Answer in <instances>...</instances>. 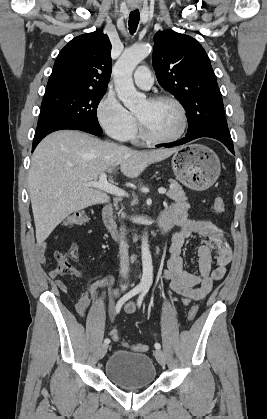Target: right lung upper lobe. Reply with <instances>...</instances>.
I'll return each mask as SVG.
<instances>
[{
  "label": "right lung upper lobe",
  "mask_w": 267,
  "mask_h": 419,
  "mask_svg": "<svg viewBox=\"0 0 267 419\" xmlns=\"http://www.w3.org/2000/svg\"><path fill=\"white\" fill-rule=\"evenodd\" d=\"M111 43L98 30L73 38L59 53L46 92L106 91L111 71Z\"/></svg>",
  "instance_id": "obj_1"
}]
</instances>
